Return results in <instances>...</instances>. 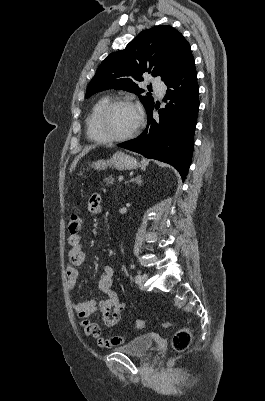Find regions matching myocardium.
<instances>
[{"mask_svg":"<svg viewBox=\"0 0 265 401\" xmlns=\"http://www.w3.org/2000/svg\"><path fill=\"white\" fill-rule=\"evenodd\" d=\"M119 105H130V106H133L134 108H136L138 110L137 123H136L135 127L125 135L115 136V137L107 136L103 133V130H102V120H103L104 116L110 110H112L114 107L119 106ZM143 121H144L143 112L141 110H139L131 100H129V99H113V100H109L107 103H105L97 112V114L93 120V130L98 135L99 140L101 142L125 141V140L132 138L133 136H135L138 133L140 127L143 124Z\"/></svg>","mask_w":265,"mask_h":401,"instance_id":"f54148a6","label":"myocardium"}]
</instances>
